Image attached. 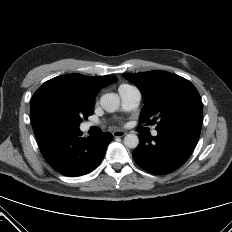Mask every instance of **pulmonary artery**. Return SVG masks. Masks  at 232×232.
I'll return each instance as SVG.
<instances>
[{
  "label": "pulmonary artery",
  "instance_id": "obj_1",
  "mask_svg": "<svg viewBox=\"0 0 232 232\" xmlns=\"http://www.w3.org/2000/svg\"><path fill=\"white\" fill-rule=\"evenodd\" d=\"M119 94L122 101V107L126 111L134 110L139 106L141 100V92L139 91L138 88L136 87L120 88ZM95 125L96 124L94 122H87L84 124L83 128L84 130H87ZM157 134H158L157 130L152 131L153 136H156Z\"/></svg>",
  "mask_w": 232,
  "mask_h": 232
}]
</instances>
